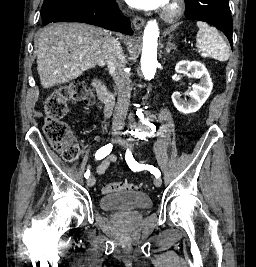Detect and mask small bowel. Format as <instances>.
I'll use <instances>...</instances> for the list:
<instances>
[{
	"label": "small bowel",
	"instance_id": "c3829d8e",
	"mask_svg": "<svg viewBox=\"0 0 256 267\" xmlns=\"http://www.w3.org/2000/svg\"><path fill=\"white\" fill-rule=\"evenodd\" d=\"M116 156L114 154H109L107 155L101 162L100 164L97 166L96 168V173L98 175H102L106 172V170L108 169V167L114 163L116 161Z\"/></svg>",
	"mask_w": 256,
	"mask_h": 267
}]
</instances>
